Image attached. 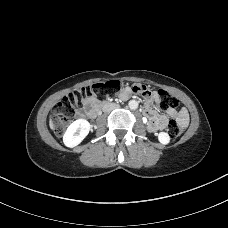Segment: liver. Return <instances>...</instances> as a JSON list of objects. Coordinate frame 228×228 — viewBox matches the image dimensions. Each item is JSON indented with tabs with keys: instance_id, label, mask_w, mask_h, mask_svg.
Segmentation results:
<instances>
[{
	"instance_id": "1",
	"label": "liver",
	"mask_w": 228,
	"mask_h": 228,
	"mask_svg": "<svg viewBox=\"0 0 228 228\" xmlns=\"http://www.w3.org/2000/svg\"><path fill=\"white\" fill-rule=\"evenodd\" d=\"M50 127H51V129H53V124H52L51 120H50Z\"/></svg>"
}]
</instances>
